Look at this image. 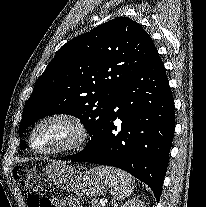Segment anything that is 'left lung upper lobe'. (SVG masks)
<instances>
[{"label":"left lung upper lobe","instance_id":"5c2ea615","mask_svg":"<svg viewBox=\"0 0 206 207\" xmlns=\"http://www.w3.org/2000/svg\"><path fill=\"white\" fill-rule=\"evenodd\" d=\"M149 34L126 17L108 21L63 45L37 80L19 126L52 114L81 119L93 146L117 93L155 52ZM21 149L26 148L21 141Z\"/></svg>","mask_w":206,"mask_h":207}]
</instances>
